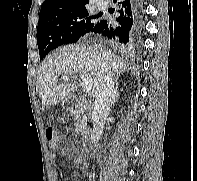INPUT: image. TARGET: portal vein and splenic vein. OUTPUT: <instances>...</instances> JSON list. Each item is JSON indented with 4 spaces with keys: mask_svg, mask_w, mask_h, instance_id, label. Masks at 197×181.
Instances as JSON below:
<instances>
[{
    "mask_svg": "<svg viewBox=\"0 0 197 181\" xmlns=\"http://www.w3.org/2000/svg\"><path fill=\"white\" fill-rule=\"evenodd\" d=\"M61 79L63 81H68L69 80V76L63 75L61 77ZM81 79H82L83 91L86 92V93H89L92 90L93 79L90 76L86 75V74H82L81 75Z\"/></svg>",
    "mask_w": 197,
    "mask_h": 181,
    "instance_id": "1",
    "label": "portal vein and splenic vein"
}]
</instances>
